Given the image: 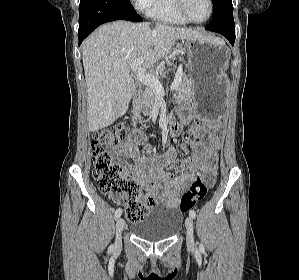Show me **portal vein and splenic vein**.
Returning <instances> with one entry per match:
<instances>
[{"label":"portal vein and splenic vein","mask_w":299,"mask_h":280,"mask_svg":"<svg viewBox=\"0 0 299 280\" xmlns=\"http://www.w3.org/2000/svg\"><path fill=\"white\" fill-rule=\"evenodd\" d=\"M143 62V59H137L134 61L131 65V70L136 73V75L150 88H152L156 94L158 95H164L165 91L161 83L159 82L158 78L155 77L154 75L147 73L145 69L141 67ZM181 74H182V69L181 67L177 70L175 74V78L170 86V89L173 90L175 89L181 80Z\"/></svg>","instance_id":"obj_1"}]
</instances>
